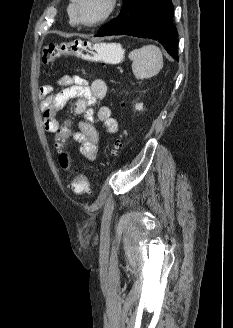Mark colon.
<instances>
[{"label":"colon","mask_w":233,"mask_h":328,"mask_svg":"<svg viewBox=\"0 0 233 328\" xmlns=\"http://www.w3.org/2000/svg\"><path fill=\"white\" fill-rule=\"evenodd\" d=\"M76 56L87 61L96 62H113L122 56L121 48L117 45L100 43L92 44L85 41H73L67 43H50L46 45L41 54V62L49 64L63 56ZM56 134V148L58 150V159L62 168L71 174L70 187L79 194L89 193L90 183L88 179L81 173L77 166L72 164L70 155L64 146L67 138L71 137L72 127L69 121L60 124ZM123 147L122 138L116 139L111 148V152L117 155Z\"/></svg>","instance_id":"colon-1"}]
</instances>
